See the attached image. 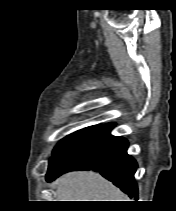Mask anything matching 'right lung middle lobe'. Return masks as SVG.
<instances>
[{
    "mask_svg": "<svg viewBox=\"0 0 176 211\" xmlns=\"http://www.w3.org/2000/svg\"><path fill=\"white\" fill-rule=\"evenodd\" d=\"M96 126L87 127L82 130L76 131L67 137H65L63 140H61L58 145L54 148L52 157L49 161V165L53 164L59 157L73 144L78 142L83 136H85L90 130H92Z\"/></svg>",
    "mask_w": 176,
    "mask_h": 211,
    "instance_id": "dd1d6c3e",
    "label": "right lung middle lobe"
}]
</instances>
